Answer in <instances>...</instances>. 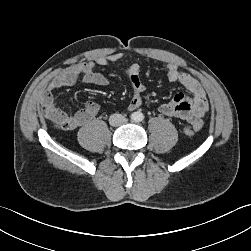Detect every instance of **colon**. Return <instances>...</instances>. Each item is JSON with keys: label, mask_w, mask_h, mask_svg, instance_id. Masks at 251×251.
I'll list each match as a JSON object with an SVG mask.
<instances>
[{"label": "colon", "mask_w": 251, "mask_h": 251, "mask_svg": "<svg viewBox=\"0 0 251 251\" xmlns=\"http://www.w3.org/2000/svg\"><path fill=\"white\" fill-rule=\"evenodd\" d=\"M42 112L50 115V119L61 129H72L74 128V117L71 114H68L64 112L61 109H57L54 111L49 112L48 108L44 107L42 108ZM194 128L193 127H186L184 129V132L188 136H192L194 134Z\"/></svg>", "instance_id": "5ec220e1"}]
</instances>
